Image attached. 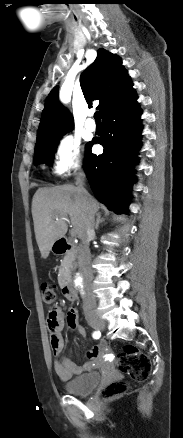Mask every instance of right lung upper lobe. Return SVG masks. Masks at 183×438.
<instances>
[{
    "label": "right lung upper lobe",
    "instance_id": "1",
    "mask_svg": "<svg viewBox=\"0 0 183 438\" xmlns=\"http://www.w3.org/2000/svg\"><path fill=\"white\" fill-rule=\"evenodd\" d=\"M80 86L89 107L93 100H99L98 109L102 117L135 94L121 59L104 49L98 50L95 61L81 74ZM72 127L73 119L60 104L56 86L45 102L37 138L69 131Z\"/></svg>",
    "mask_w": 183,
    "mask_h": 438
}]
</instances>
